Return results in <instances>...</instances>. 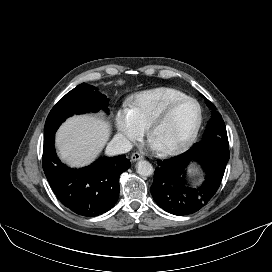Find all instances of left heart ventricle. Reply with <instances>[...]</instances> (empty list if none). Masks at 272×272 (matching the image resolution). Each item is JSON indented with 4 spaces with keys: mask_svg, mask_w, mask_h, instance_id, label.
Masks as SVG:
<instances>
[{
    "mask_svg": "<svg viewBox=\"0 0 272 272\" xmlns=\"http://www.w3.org/2000/svg\"><path fill=\"white\" fill-rule=\"evenodd\" d=\"M198 117L197 106L185 102L174 109L157 128L152 143L158 148H170L181 144L190 135Z\"/></svg>",
    "mask_w": 272,
    "mask_h": 272,
    "instance_id": "left-heart-ventricle-1",
    "label": "left heart ventricle"
}]
</instances>
